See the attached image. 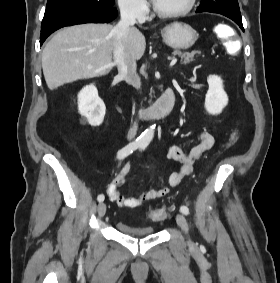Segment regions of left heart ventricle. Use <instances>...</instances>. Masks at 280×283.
Masks as SVG:
<instances>
[{
	"mask_svg": "<svg viewBox=\"0 0 280 283\" xmlns=\"http://www.w3.org/2000/svg\"><path fill=\"white\" fill-rule=\"evenodd\" d=\"M188 0H156L154 5L161 12H175L184 8Z\"/></svg>",
	"mask_w": 280,
	"mask_h": 283,
	"instance_id": "left-heart-ventricle-1",
	"label": "left heart ventricle"
}]
</instances>
